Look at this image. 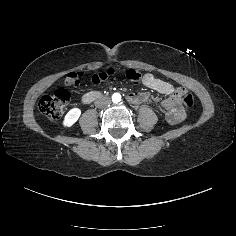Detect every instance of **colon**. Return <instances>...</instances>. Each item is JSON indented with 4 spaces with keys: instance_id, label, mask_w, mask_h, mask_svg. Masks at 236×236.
<instances>
[{
    "instance_id": "5ec220e1",
    "label": "colon",
    "mask_w": 236,
    "mask_h": 236,
    "mask_svg": "<svg viewBox=\"0 0 236 236\" xmlns=\"http://www.w3.org/2000/svg\"><path fill=\"white\" fill-rule=\"evenodd\" d=\"M114 74L113 69H108L107 71L94 74L91 81L95 85H102L107 82L111 76ZM127 78L133 83H139L142 79V74L137 70H128ZM82 81L81 73H70L65 79V84L69 87L77 86ZM155 82V81H154ZM160 85V84H158ZM180 102L191 107L194 103V97L184 88H179L176 91ZM70 93L67 89L60 88L57 89L53 94L44 95L40 98L38 103V108L42 114L53 119H59L64 114L65 108L69 102Z\"/></svg>"
}]
</instances>
